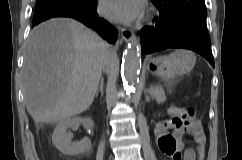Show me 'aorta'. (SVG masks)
Listing matches in <instances>:
<instances>
[{
	"label": "aorta",
	"instance_id": "1",
	"mask_svg": "<svg viewBox=\"0 0 242 160\" xmlns=\"http://www.w3.org/2000/svg\"><path fill=\"white\" fill-rule=\"evenodd\" d=\"M141 67L140 42L132 38L122 60V77L130 85L134 86L139 78Z\"/></svg>",
	"mask_w": 242,
	"mask_h": 160
}]
</instances>
